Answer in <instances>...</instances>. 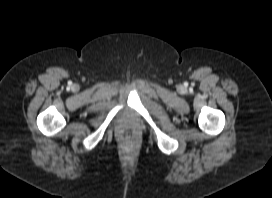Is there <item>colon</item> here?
<instances>
[{
    "mask_svg": "<svg viewBox=\"0 0 272 198\" xmlns=\"http://www.w3.org/2000/svg\"><path fill=\"white\" fill-rule=\"evenodd\" d=\"M133 138L132 132L130 130H127L124 134V140L129 142Z\"/></svg>",
    "mask_w": 272,
    "mask_h": 198,
    "instance_id": "5ec220e1",
    "label": "colon"
}]
</instances>
